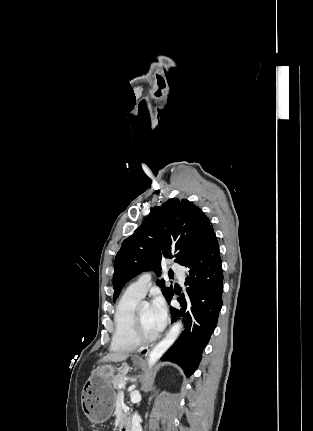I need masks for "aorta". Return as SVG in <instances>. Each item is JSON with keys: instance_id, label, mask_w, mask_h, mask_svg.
Returning a JSON list of instances; mask_svg holds the SVG:
<instances>
[{"instance_id": "aorta-1", "label": "aorta", "mask_w": 313, "mask_h": 431, "mask_svg": "<svg viewBox=\"0 0 313 431\" xmlns=\"http://www.w3.org/2000/svg\"><path fill=\"white\" fill-rule=\"evenodd\" d=\"M182 330V322L177 321L170 328L166 336L154 346V348L149 353L148 365L151 368L158 359L172 346V344L177 340ZM131 431H142L141 427V417L136 412L132 416L131 421Z\"/></svg>"}]
</instances>
